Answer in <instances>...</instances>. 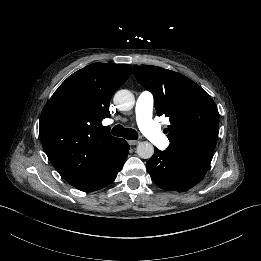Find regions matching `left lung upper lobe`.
Listing matches in <instances>:
<instances>
[{
  "instance_id": "5c2ea615",
  "label": "left lung upper lobe",
  "mask_w": 261,
  "mask_h": 261,
  "mask_svg": "<svg viewBox=\"0 0 261 261\" xmlns=\"http://www.w3.org/2000/svg\"><path fill=\"white\" fill-rule=\"evenodd\" d=\"M137 81L152 92L156 112L169 118L168 149L213 157L219 114L212 98L186 76L158 66H134Z\"/></svg>"
}]
</instances>
